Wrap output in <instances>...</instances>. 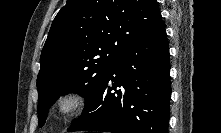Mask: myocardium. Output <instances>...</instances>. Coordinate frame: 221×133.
<instances>
[{"label": "myocardium", "mask_w": 221, "mask_h": 133, "mask_svg": "<svg viewBox=\"0 0 221 133\" xmlns=\"http://www.w3.org/2000/svg\"><path fill=\"white\" fill-rule=\"evenodd\" d=\"M86 97L79 91L61 93L53 104V113L59 118L70 117L86 106Z\"/></svg>", "instance_id": "f54148a6"}]
</instances>
